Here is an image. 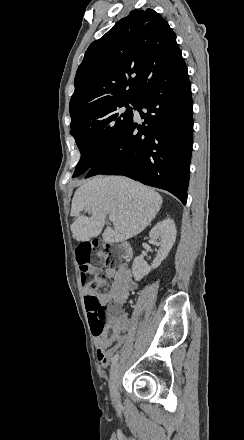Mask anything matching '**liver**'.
Returning <instances> with one entry per match:
<instances>
[{"instance_id":"6515ba94","label":"liver","mask_w":244,"mask_h":440,"mask_svg":"<svg viewBox=\"0 0 244 440\" xmlns=\"http://www.w3.org/2000/svg\"><path fill=\"white\" fill-rule=\"evenodd\" d=\"M162 206L158 192L124 176H95L76 190L71 206L75 216L71 232L78 242L101 234L106 214L116 216L114 228H106L102 238L106 244L124 242L143 232ZM89 212L91 218L80 216Z\"/></svg>"}]
</instances>
